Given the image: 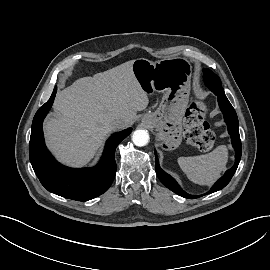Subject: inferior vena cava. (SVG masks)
Returning <instances> with one entry per match:
<instances>
[{
    "label": "inferior vena cava",
    "mask_w": 270,
    "mask_h": 270,
    "mask_svg": "<svg viewBox=\"0 0 270 270\" xmlns=\"http://www.w3.org/2000/svg\"><path fill=\"white\" fill-rule=\"evenodd\" d=\"M111 126L113 128H122L124 126V121L120 118L113 119L111 121Z\"/></svg>",
    "instance_id": "602c4592"
}]
</instances>
